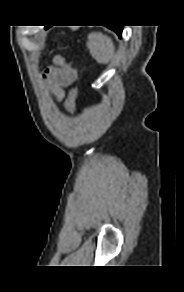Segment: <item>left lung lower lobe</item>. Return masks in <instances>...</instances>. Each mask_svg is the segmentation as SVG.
Here are the masks:
<instances>
[{
    "mask_svg": "<svg viewBox=\"0 0 184 292\" xmlns=\"http://www.w3.org/2000/svg\"><path fill=\"white\" fill-rule=\"evenodd\" d=\"M108 27L111 28L112 30H114L119 36H121L123 26H115V27L108 26Z\"/></svg>",
    "mask_w": 184,
    "mask_h": 292,
    "instance_id": "0a47b994",
    "label": "left lung lower lobe"
}]
</instances>
